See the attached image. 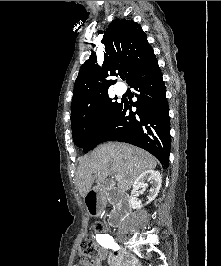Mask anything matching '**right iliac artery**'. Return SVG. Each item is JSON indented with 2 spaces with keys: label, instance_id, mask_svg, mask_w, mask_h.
<instances>
[{
  "label": "right iliac artery",
  "instance_id": "82829eb1",
  "mask_svg": "<svg viewBox=\"0 0 221 266\" xmlns=\"http://www.w3.org/2000/svg\"><path fill=\"white\" fill-rule=\"evenodd\" d=\"M97 241L101 246L105 248H111L115 251L119 249V245L115 243L113 237L108 234H101L97 236Z\"/></svg>",
  "mask_w": 221,
  "mask_h": 266
}]
</instances>
